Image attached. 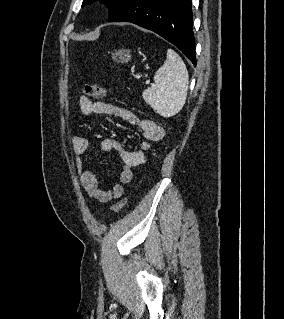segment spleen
<instances>
[{"label":"spleen","instance_id":"1","mask_svg":"<svg viewBox=\"0 0 284 319\" xmlns=\"http://www.w3.org/2000/svg\"><path fill=\"white\" fill-rule=\"evenodd\" d=\"M188 90V71L181 57L172 49L154 75V85L143 91V99L163 117L176 115L184 106Z\"/></svg>","mask_w":284,"mask_h":319}]
</instances>
